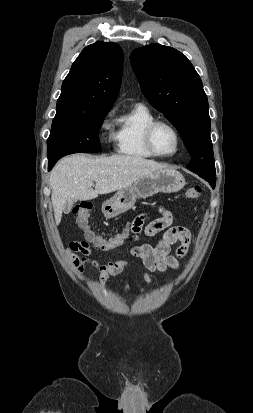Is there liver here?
<instances>
[{
	"label": "liver",
	"instance_id": "6515ba94",
	"mask_svg": "<svg viewBox=\"0 0 253 413\" xmlns=\"http://www.w3.org/2000/svg\"><path fill=\"white\" fill-rule=\"evenodd\" d=\"M165 168L169 167L136 156L91 158L75 154L62 158L50 173L56 224H60L63 211L74 201L92 200L99 194L128 188L141 177Z\"/></svg>",
	"mask_w": 253,
	"mask_h": 413
}]
</instances>
